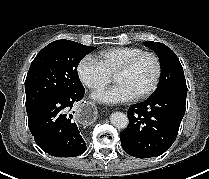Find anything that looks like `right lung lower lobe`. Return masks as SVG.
Listing matches in <instances>:
<instances>
[{"label":"right lung lower lobe","mask_w":209,"mask_h":179,"mask_svg":"<svg viewBox=\"0 0 209 179\" xmlns=\"http://www.w3.org/2000/svg\"><path fill=\"white\" fill-rule=\"evenodd\" d=\"M84 93L85 89L52 97L28 113L30 132L44 152L56 157H75L85 152L83 135L68 113Z\"/></svg>","instance_id":"right-lung-lower-lobe-1"}]
</instances>
